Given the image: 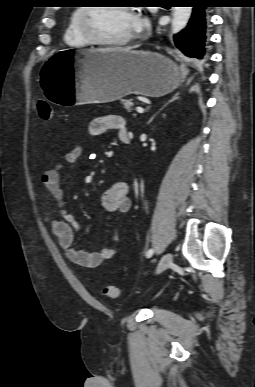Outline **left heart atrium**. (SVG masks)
<instances>
[{
    "label": "left heart atrium",
    "instance_id": "left-heart-atrium-1",
    "mask_svg": "<svg viewBox=\"0 0 255 387\" xmlns=\"http://www.w3.org/2000/svg\"><path fill=\"white\" fill-rule=\"evenodd\" d=\"M146 28H148V22L146 19L138 16H133V31L135 33L140 32Z\"/></svg>",
    "mask_w": 255,
    "mask_h": 387
}]
</instances>
